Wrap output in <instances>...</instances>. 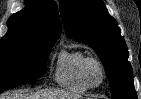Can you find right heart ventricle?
<instances>
[{
    "label": "right heart ventricle",
    "instance_id": "e07e8e85",
    "mask_svg": "<svg viewBox=\"0 0 141 99\" xmlns=\"http://www.w3.org/2000/svg\"><path fill=\"white\" fill-rule=\"evenodd\" d=\"M87 55L82 50H63L57 59L54 79L63 88L83 93L90 89L81 75L82 63Z\"/></svg>",
    "mask_w": 141,
    "mask_h": 99
}]
</instances>
